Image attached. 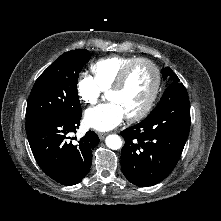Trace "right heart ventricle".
I'll return each mask as SVG.
<instances>
[{"instance_id":"e07e8e85","label":"right heart ventricle","mask_w":221,"mask_h":221,"mask_svg":"<svg viewBox=\"0 0 221 221\" xmlns=\"http://www.w3.org/2000/svg\"><path fill=\"white\" fill-rule=\"evenodd\" d=\"M134 59L135 57L114 55L92 63L90 69L98 88L101 91H108L122 69Z\"/></svg>"}]
</instances>
